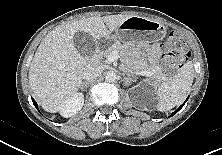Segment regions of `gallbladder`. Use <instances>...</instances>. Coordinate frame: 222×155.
Masks as SVG:
<instances>
[{
	"label": "gallbladder",
	"instance_id": "obj_1",
	"mask_svg": "<svg viewBox=\"0 0 222 155\" xmlns=\"http://www.w3.org/2000/svg\"><path fill=\"white\" fill-rule=\"evenodd\" d=\"M74 45L78 52L86 58H91L95 53V40L86 32H77L73 36Z\"/></svg>",
	"mask_w": 222,
	"mask_h": 155
}]
</instances>
